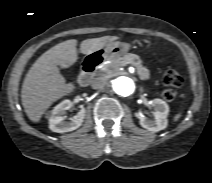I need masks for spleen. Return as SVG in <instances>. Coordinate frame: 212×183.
I'll list each match as a JSON object with an SVG mask.
<instances>
[{"label": "spleen", "mask_w": 212, "mask_h": 183, "mask_svg": "<svg viewBox=\"0 0 212 183\" xmlns=\"http://www.w3.org/2000/svg\"><path fill=\"white\" fill-rule=\"evenodd\" d=\"M181 117V114H177L175 117H174V121H177L179 118Z\"/></svg>", "instance_id": "obj_1"}]
</instances>
